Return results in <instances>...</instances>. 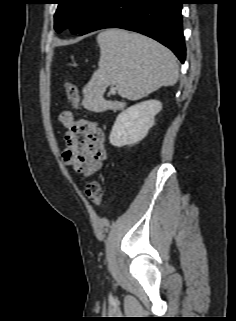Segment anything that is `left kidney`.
<instances>
[{"mask_svg":"<svg viewBox=\"0 0 236 321\" xmlns=\"http://www.w3.org/2000/svg\"><path fill=\"white\" fill-rule=\"evenodd\" d=\"M162 109L161 102L147 100L121 112L109 136L110 143L116 147L134 145L144 139L154 125L155 115Z\"/></svg>","mask_w":236,"mask_h":321,"instance_id":"left-kidney-1","label":"left kidney"}]
</instances>
